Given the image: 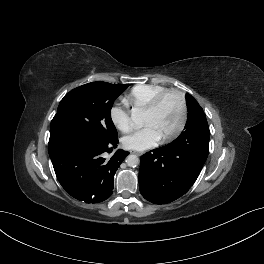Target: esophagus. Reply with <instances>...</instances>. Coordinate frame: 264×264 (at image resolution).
<instances>
[{
  "mask_svg": "<svg viewBox=\"0 0 264 264\" xmlns=\"http://www.w3.org/2000/svg\"><path fill=\"white\" fill-rule=\"evenodd\" d=\"M131 153L136 154L137 156H141V155H142L141 152H132V151H131Z\"/></svg>",
  "mask_w": 264,
  "mask_h": 264,
  "instance_id": "esophagus-1",
  "label": "esophagus"
}]
</instances>
